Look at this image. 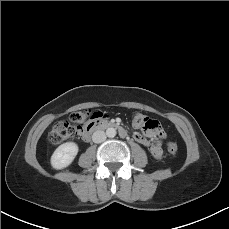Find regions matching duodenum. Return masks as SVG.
Listing matches in <instances>:
<instances>
[{"mask_svg":"<svg viewBox=\"0 0 229 229\" xmlns=\"http://www.w3.org/2000/svg\"><path fill=\"white\" fill-rule=\"evenodd\" d=\"M106 128H115L119 131L120 135L122 137L127 136L126 129L121 126L120 124L113 122V121H107L104 119H97L89 124V126L86 129L85 132V139H89L92 133L100 130V129H106Z\"/></svg>","mask_w":229,"mask_h":229,"instance_id":"410a0bca","label":"duodenum"}]
</instances>
